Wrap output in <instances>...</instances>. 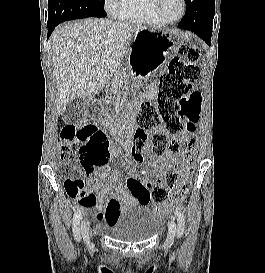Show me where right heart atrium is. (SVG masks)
Returning a JSON list of instances; mask_svg holds the SVG:
<instances>
[{
  "instance_id": "1",
  "label": "right heart atrium",
  "mask_w": 265,
  "mask_h": 273,
  "mask_svg": "<svg viewBox=\"0 0 265 273\" xmlns=\"http://www.w3.org/2000/svg\"><path fill=\"white\" fill-rule=\"evenodd\" d=\"M123 0H104V7L109 14L117 15Z\"/></svg>"
}]
</instances>
